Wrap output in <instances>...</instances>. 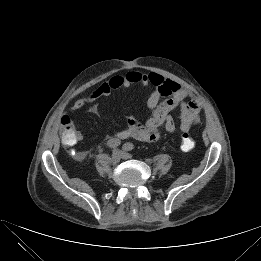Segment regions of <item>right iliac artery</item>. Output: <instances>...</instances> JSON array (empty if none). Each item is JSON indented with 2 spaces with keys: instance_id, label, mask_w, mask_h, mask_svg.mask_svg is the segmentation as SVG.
Masks as SVG:
<instances>
[{
  "instance_id": "obj_1",
  "label": "right iliac artery",
  "mask_w": 261,
  "mask_h": 261,
  "mask_svg": "<svg viewBox=\"0 0 261 261\" xmlns=\"http://www.w3.org/2000/svg\"><path fill=\"white\" fill-rule=\"evenodd\" d=\"M121 144L119 139L113 138L107 141V147L109 148H116Z\"/></svg>"
}]
</instances>
